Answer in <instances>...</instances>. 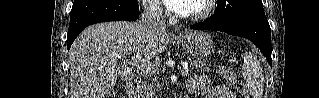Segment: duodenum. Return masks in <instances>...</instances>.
Returning <instances> with one entry per match:
<instances>
[{
	"label": "duodenum",
	"instance_id": "duodenum-1",
	"mask_svg": "<svg viewBox=\"0 0 319 98\" xmlns=\"http://www.w3.org/2000/svg\"><path fill=\"white\" fill-rule=\"evenodd\" d=\"M140 89H141V82L139 79L135 78V79L129 80L126 85L128 98H141Z\"/></svg>",
	"mask_w": 319,
	"mask_h": 98
}]
</instances>
